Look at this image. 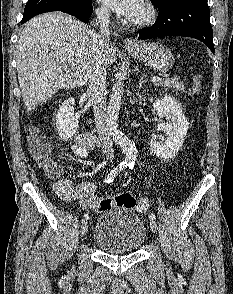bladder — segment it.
I'll use <instances>...</instances> for the list:
<instances>
[{
  "label": "bladder",
  "mask_w": 233,
  "mask_h": 294,
  "mask_svg": "<svg viewBox=\"0 0 233 294\" xmlns=\"http://www.w3.org/2000/svg\"><path fill=\"white\" fill-rule=\"evenodd\" d=\"M146 236V227L139 215L129 208L115 207L98 218L92 238L105 252L125 254L137 251Z\"/></svg>",
  "instance_id": "bladder-1"
}]
</instances>
